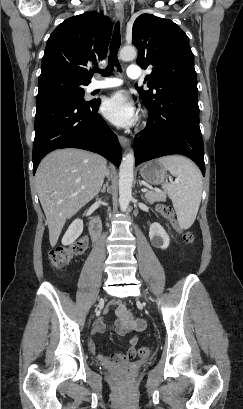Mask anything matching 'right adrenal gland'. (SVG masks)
Here are the masks:
<instances>
[{
	"label": "right adrenal gland",
	"instance_id": "2a0ac1e0",
	"mask_svg": "<svg viewBox=\"0 0 243 409\" xmlns=\"http://www.w3.org/2000/svg\"><path fill=\"white\" fill-rule=\"evenodd\" d=\"M106 188H107V191L109 192L110 188H109V186H108V182H106V183L104 184L103 188L101 189V193H105V192H106Z\"/></svg>",
	"mask_w": 243,
	"mask_h": 409
}]
</instances>
